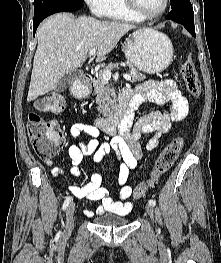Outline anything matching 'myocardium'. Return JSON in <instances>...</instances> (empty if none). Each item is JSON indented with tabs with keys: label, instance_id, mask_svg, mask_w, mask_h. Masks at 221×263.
<instances>
[{
	"label": "myocardium",
	"instance_id": "f54148a6",
	"mask_svg": "<svg viewBox=\"0 0 221 263\" xmlns=\"http://www.w3.org/2000/svg\"><path fill=\"white\" fill-rule=\"evenodd\" d=\"M127 7L141 20L155 19L163 15L169 7V0H164V5L161 10L156 13L146 14L144 13L137 0H124Z\"/></svg>",
	"mask_w": 221,
	"mask_h": 263
}]
</instances>
